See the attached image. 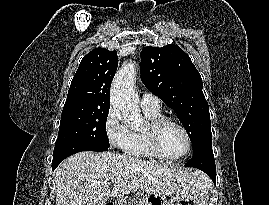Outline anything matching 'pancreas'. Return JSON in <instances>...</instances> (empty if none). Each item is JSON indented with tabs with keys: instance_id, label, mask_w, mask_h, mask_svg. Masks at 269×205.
I'll list each match as a JSON object with an SVG mask.
<instances>
[{
	"instance_id": "cf45deb5",
	"label": "pancreas",
	"mask_w": 269,
	"mask_h": 205,
	"mask_svg": "<svg viewBox=\"0 0 269 205\" xmlns=\"http://www.w3.org/2000/svg\"><path fill=\"white\" fill-rule=\"evenodd\" d=\"M138 196H133L130 198H125L123 201L125 202L124 205H134V203L137 201Z\"/></svg>"
}]
</instances>
